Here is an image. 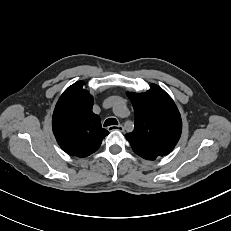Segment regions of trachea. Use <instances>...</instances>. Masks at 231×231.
Masks as SVG:
<instances>
[{
	"label": "trachea",
	"mask_w": 231,
	"mask_h": 231,
	"mask_svg": "<svg viewBox=\"0 0 231 231\" xmlns=\"http://www.w3.org/2000/svg\"><path fill=\"white\" fill-rule=\"evenodd\" d=\"M111 125H118V122L115 118H109L104 122V127L111 126Z\"/></svg>",
	"instance_id": "1"
}]
</instances>
